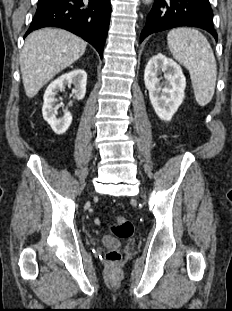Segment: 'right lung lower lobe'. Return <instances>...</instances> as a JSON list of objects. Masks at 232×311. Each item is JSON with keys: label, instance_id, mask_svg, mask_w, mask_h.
<instances>
[{"label": "right lung lower lobe", "instance_id": "98d812e1", "mask_svg": "<svg viewBox=\"0 0 232 311\" xmlns=\"http://www.w3.org/2000/svg\"><path fill=\"white\" fill-rule=\"evenodd\" d=\"M110 14V0H39L24 37L43 27L63 28L89 42L102 58Z\"/></svg>", "mask_w": 232, "mask_h": 311}]
</instances>
